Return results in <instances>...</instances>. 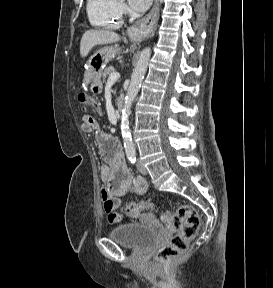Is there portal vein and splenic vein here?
<instances>
[{"instance_id":"1","label":"portal vein and splenic vein","mask_w":273,"mask_h":288,"mask_svg":"<svg viewBox=\"0 0 273 288\" xmlns=\"http://www.w3.org/2000/svg\"><path fill=\"white\" fill-rule=\"evenodd\" d=\"M120 78V74L117 72H113L109 75L107 83L108 84H113L115 83L118 79Z\"/></svg>"}]
</instances>
